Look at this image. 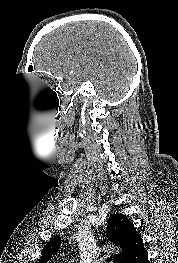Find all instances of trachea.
Instances as JSON below:
<instances>
[{
	"instance_id": "3493384b",
	"label": "trachea",
	"mask_w": 178,
	"mask_h": 263,
	"mask_svg": "<svg viewBox=\"0 0 178 263\" xmlns=\"http://www.w3.org/2000/svg\"><path fill=\"white\" fill-rule=\"evenodd\" d=\"M107 263H110L112 261V257L107 258Z\"/></svg>"
}]
</instances>
